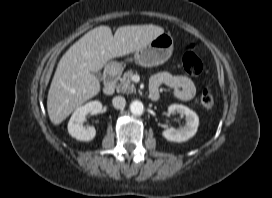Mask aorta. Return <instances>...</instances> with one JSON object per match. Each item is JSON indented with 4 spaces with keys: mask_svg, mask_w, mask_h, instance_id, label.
<instances>
[{
    "mask_svg": "<svg viewBox=\"0 0 272 198\" xmlns=\"http://www.w3.org/2000/svg\"><path fill=\"white\" fill-rule=\"evenodd\" d=\"M130 111L132 114L134 115H142L143 112H144V106H143V103L141 101H133L131 104H130Z\"/></svg>",
    "mask_w": 272,
    "mask_h": 198,
    "instance_id": "1",
    "label": "aorta"
}]
</instances>
